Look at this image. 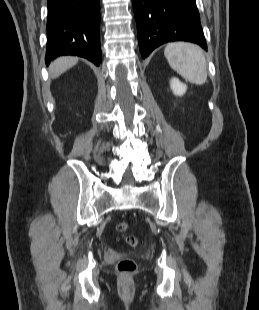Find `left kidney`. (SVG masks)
<instances>
[{
    "instance_id": "1",
    "label": "left kidney",
    "mask_w": 259,
    "mask_h": 310,
    "mask_svg": "<svg viewBox=\"0 0 259 310\" xmlns=\"http://www.w3.org/2000/svg\"><path fill=\"white\" fill-rule=\"evenodd\" d=\"M170 87L173 93L177 96H182L185 94L187 90V85L185 83H182L178 78L173 77L170 80Z\"/></svg>"
}]
</instances>
